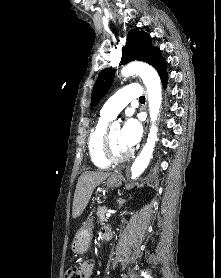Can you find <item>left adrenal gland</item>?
Here are the masks:
<instances>
[{"mask_svg":"<svg viewBox=\"0 0 221 278\" xmlns=\"http://www.w3.org/2000/svg\"><path fill=\"white\" fill-rule=\"evenodd\" d=\"M118 204H119V209L122 207V205L126 202V200L122 199V198H119L117 200Z\"/></svg>","mask_w":221,"mask_h":278,"instance_id":"left-adrenal-gland-1","label":"left adrenal gland"}]
</instances>
